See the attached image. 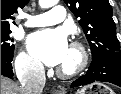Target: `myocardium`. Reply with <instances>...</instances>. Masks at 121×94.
Returning a JSON list of instances; mask_svg holds the SVG:
<instances>
[{
    "label": "myocardium",
    "instance_id": "myocardium-1",
    "mask_svg": "<svg viewBox=\"0 0 121 94\" xmlns=\"http://www.w3.org/2000/svg\"><path fill=\"white\" fill-rule=\"evenodd\" d=\"M70 48L76 52L78 60L71 68L58 67L56 69L57 75L63 79H71L79 76L84 72L89 62L88 51L83 44L74 41L71 43Z\"/></svg>",
    "mask_w": 121,
    "mask_h": 94
}]
</instances>
